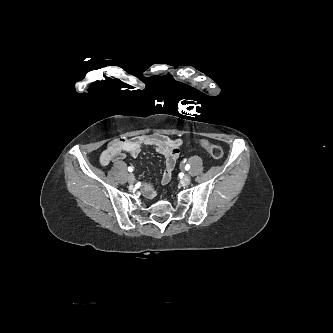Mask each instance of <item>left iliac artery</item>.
I'll return each mask as SVG.
<instances>
[{
    "label": "left iliac artery",
    "mask_w": 333,
    "mask_h": 333,
    "mask_svg": "<svg viewBox=\"0 0 333 333\" xmlns=\"http://www.w3.org/2000/svg\"><path fill=\"white\" fill-rule=\"evenodd\" d=\"M190 169V165L189 164H186L185 166V170H189Z\"/></svg>",
    "instance_id": "44dca946"
}]
</instances>
